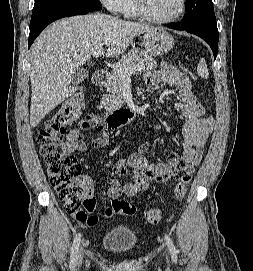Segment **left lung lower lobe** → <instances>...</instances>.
Segmentation results:
<instances>
[{"instance_id":"left-lung-lower-lobe-1","label":"left lung lower lobe","mask_w":253,"mask_h":271,"mask_svg":"<svg viewBox=\"0 0 253 271\" xmlns=\"http://www.w3.org/2000/svg\"><path fill=\"white\" fill-rule=\"evenodd\" d=\"M168 27L175 30H184L201 37L209 44L213 51L214 58H216L218 52V29L216 19L196 23L188 27L182 24L169 25Z\"/></svg>"}]
</instances>
